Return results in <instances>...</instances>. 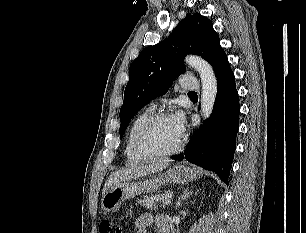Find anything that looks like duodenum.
<instances>
[{
    "label": "duodenum",
    "mask_w": 306,
    "mask_h": 233,
    "mask_svg": "<svg viewBox=\"0 0 306 233\" xmlns=\"http://www.w3.org/2000/svg\"><path fill=\"white\" fill-rule=\"evenodd\" d=\"M160 233H169V226H168V224L161 227Z\"/></svg>",
    "instance_id": "obj_1"
}]
</instances>
